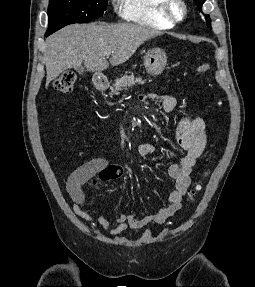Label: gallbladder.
<instances>
[{
    "label": "gallbladder",
    "mask_w": 255,
    "mask_h": 287,
    "mask_svg": "<svg viewBox=\"0 0 255 287\" xmlns=\"http://www.w3.org/2000/svg\"><path fill=\"white\" fill-rule=\"evenodd\" d=\"M75 70L78 74H83V72H85L84 68H81V66H79V68H75Z\"/></svg>",
    "instance_id": "gallbladder-1"
}]
</instances>
